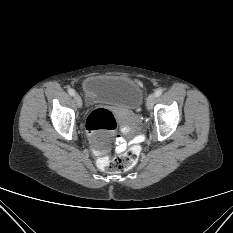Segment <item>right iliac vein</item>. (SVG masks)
Instances as JSON below:
<instances>
[{
    "instance_id": "right-iliac-vein-1",
    "label": "right iliac vein",
    "mask_w": 233,
    "mask_h": 233,
    "mask_svg": "<svg viewBox=\"0 0 233 233\" xmlns=\"http://www.w3.org/2000/svg\"><path fill=\"white\" fill-rule=\"evenodd\" d=\"M74 98H75V101L77 102L78 106L81 107L82 106V99H81L80 95L75 94Z\"/></svg>"
}]
</instances>
